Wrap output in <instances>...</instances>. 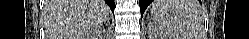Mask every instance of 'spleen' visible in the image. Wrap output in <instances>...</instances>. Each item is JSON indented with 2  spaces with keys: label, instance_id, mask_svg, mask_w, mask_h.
<instances>
[{
  "label": "spleen",
  "instance_id": "obj_1",
  "mask_svg": "<svg viewBox=\"0 0 249 39\" xmlns=\"http://www.w3.org/2000/svg\"><path fill=\"white\" fill-rule=\"evenodd\" d=\"M151 16L157 26L172 37H204L205 12L198 0H155L152 2Z\"/></svg>",
  "mask_w": 249,
  "mask_h": 39
}]
</instances>
